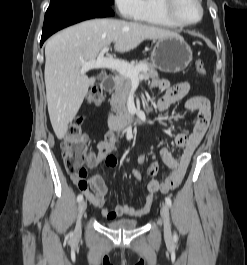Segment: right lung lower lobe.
<instances>
[{"mask_svg": "<svg viewBox=\"0 0 247 265\" xmlns=\"http://www.w3.org/2000/svg\"><path fill=\"white\" fill-rule=\"evenodd\" d=\"M113 15L112 9L104 3L70 1L50 5L45 14L40 45L62 28L83 20Z\"/></svg>", "mask_w": 247, "mask_h": 265, "instance_id": "obj_1", "label": "right lung lower lobe"}]
</instances>
